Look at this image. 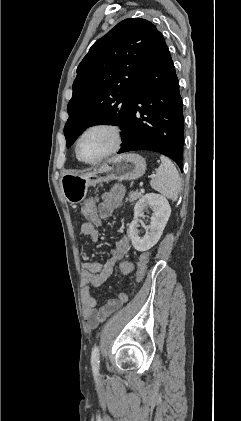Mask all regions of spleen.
Wrapping results in <instances>:
<instances>
[{"label": "spleen", "instance_id": "obj_1", "mask_svg": "<svg viewBox=\"0 0 241 421\" xmlns=\"http://www.w3.org/2000/svg\"><path fill=\"white\" fill-rule=\"evenodd\" d=\"M161 165L156 176L150 181L151 187L165 198L176 201L181 187V180L175 165L165 156H160Z\"/></svg>", "mask_w": 241, "mask_h": 421}]
</instances>
